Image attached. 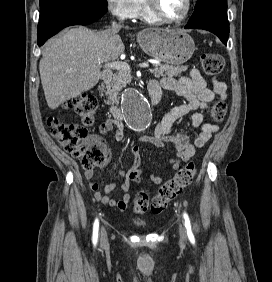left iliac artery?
Returning a JSON list of instances; mask_svg holds the SVG:
<instances>
[{"label": "left iliac artery", "instance_id": "left-iliac-artery-1", "mask_svg": "<svg viewBox=\"0 0 272 282\" xmlns=\"http://www.w3.org/2000/svg\"><path fill=\"white\" fill-rule=\"evenodd\" d=\"M183 218L185 220V227L187 229V235H188L189 239L191 240V242L194 243L195 239H194V235H193L192 230H191L190 219H189V216L186 212L183 213Z\"/></svg>", "mask_w": 272, "mask_h": 282}]
</instances>
